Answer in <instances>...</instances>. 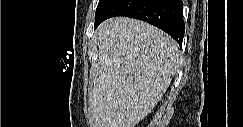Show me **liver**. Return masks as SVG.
<instances>
[{
	"mask_svg": "<svg viewBox=\"0 0 243 127\" xmlns=\"http://www.w3.org/2000/svg\"><path fill=\"white\" fill-rule=\"evenodd\" d=\"M96 37L100 66L90 96L96 127H134L167 91L178 44L162 30L126 17L104 21Z\"/></svg>",
	"mask_w": 243,
	"mask_h": 127,
	"instance_id": "6515ba94",
	"label": "liver"
}]
</instances>
